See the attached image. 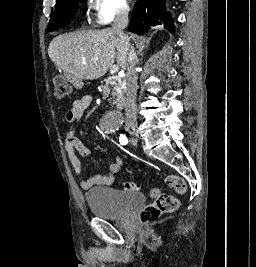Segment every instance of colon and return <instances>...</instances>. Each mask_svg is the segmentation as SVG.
<instances>
[{
    "label": "colon",
    "mask_w": 256,
    "mask_h": 267,
    "mask_svg": "<svg viewBox=\"0 0 256 267\" xmlns=\"http://www.w3.org/2000/svg\"><path fill=\"white\" fill-rule=\"evenodd\" d=\"M55 95L57 98H66L71 95V84L65 77H56L54 80ZM166 183L176 193V195H185L187 191L185 181L177 176L168 175L165 178ZM123 187L127 191L138 192L139 184L136 182H124ZM160 189L154 188L150 195L159 196ZM176 195L168 194L164 197H157L158 200H153L139 212L138 223L142 228H147L150 222L156 221L163 214H171L178 210L179 200Z\"/></svg>",
    "instance_id": "1"
}]
</instances>
